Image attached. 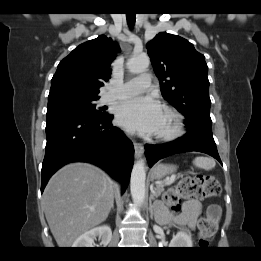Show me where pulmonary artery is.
I'll use <instances>...</instances> for the list:
<instances>
[{
    "label": "pulmonary artery",
    "mask_w": 261,
    "mask_h": 261,
    "mask_svg": "<svg viewBox=\"0 0 261 261\" xmlns=\"http://www.w3.org/2000/svg\"><path fill=\"white\" fill-rule=\"evenodd\" d=\"M151 87V76L149 74H140L119 87L109 89L102 97L104 103L133 97Z\"/></svg>",
    "instance_id": "pulmonary-artery-1"
}]
</instances>
